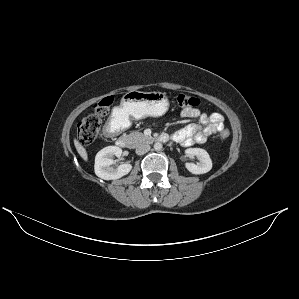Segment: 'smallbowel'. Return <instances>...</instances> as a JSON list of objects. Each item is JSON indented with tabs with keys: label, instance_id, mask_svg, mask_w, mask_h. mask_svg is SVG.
Returning a JSON list of instances; mask_svg holds the SVG:
<instances>
[{
	"label": "small bowel",
	"instance_id": "obj_1",
	"mask_svg": "<svg viewBox=\"0 0 299 299\" xmlns=\"http://www.w3.org/2000/svg\"><path fill=\"white\" fill-rule=\"evenodd\" d=\"M183 118L196 119L172 134V140L182 146L201 144L213 134L221 133L225 129L224 118L218 113L206 114L196 108H186L181 111ZM116 121L117 119L114 118Z\"/></svg>",
	"mask_w": 299,
	"mask_h": 299
}]
</instances>
